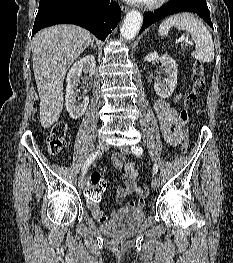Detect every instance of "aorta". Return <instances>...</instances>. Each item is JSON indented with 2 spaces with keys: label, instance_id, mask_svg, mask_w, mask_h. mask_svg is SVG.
<instances>
[{
  "label": "aorta",
  "instance_id": "762f6f07",
  "mask_svg": "<svg viewBox=\"0 0 233 263\" xmlns=\"http://www.w3.org/2000/svg\"><path fill=\"white\" fill-rule=\"evenodd\" d=\"M142 14L137 10H132L127 13L120 34L126 40H133L142 26Z\"/></svg>",
  "mask_w": 233,
  "mask_h": 263
}]
</instances>
